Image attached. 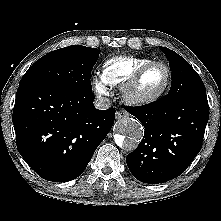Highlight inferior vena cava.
<instances>
[{"instance_id":"1","label":"inferior vena cava","mask_w":221,"mask_h":221,"mask_svg":"<svg viewBox=\"0 0 221 221\" xmlns=\"http://www.w3.org/2000/svg\"><path fill=\"white\" fill-rule=\"evenodd\" d=\"M94 105L97 109H108L111 105L110 103V99L106 98V97H98L97 99H95Z\"/></svg>"}]
</instances>
